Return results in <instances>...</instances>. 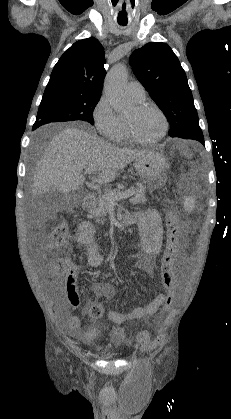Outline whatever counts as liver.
Wrapping results in <instances>:
<instances>
[{
	"label": "liver",
	"instance_id": "obj_1",
	"mask_svg": "<svg viewBox=\"0 0 231 419\" xmlns=\"http://www.w3.org/2000/svg\"><path fill=\"white\" fill-rule=\"evenodd\" d=\"M147 150L118 148L95 136L91 130L66 128L59 131L41 157L32 185L34 196L56 189L62 194L79 190L83 171L97 172L101 184L115 180L118 171Z\"/></svg>",
	"mask_w": 231,
	"mask_h": 419
}]
</instances>
